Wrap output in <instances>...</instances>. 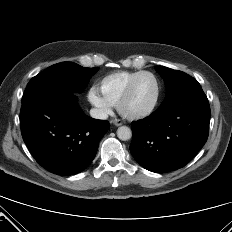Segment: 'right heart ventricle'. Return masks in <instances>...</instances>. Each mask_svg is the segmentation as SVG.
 <instances>
[{
    "label": "right heart ventricle",
    "mask_w": 232,
    "mask_h": 232,
    "mask_svg": "<svg viewBox=\"0 0 232 232\" xmlns=\"http://www.w3.org/2000/svg\"><path fill=\"white\" fill-rule=\"evenodd\" d=\"M141 71H117L104 76L98 83V89L104 99L116 106L130 81Z\"/></svg>",
    "instance_id": "obj_1"
}]
</instances>
